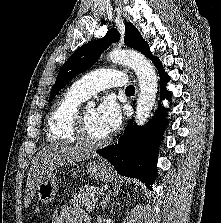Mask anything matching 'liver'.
<instances>
[{"mask_svg":"<svg viewBox=\"0 0 221 223\" xmlns=\"http://www.w3.org/2000/svg\"><path fill=\"white\" fill-rule=\"evenodd\" d=\"M95 156L94 152L81 146L56 142L43 148L34 157L27 179V192L25 197L28 206L35 195L38 184L45 175L52 173L59 166L89 159Z\"/></svg>","mask_w":221,"mask_h":223,"instance_id":"obj_1","label":"liver"}]
</instances>
